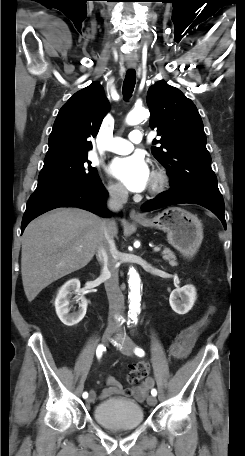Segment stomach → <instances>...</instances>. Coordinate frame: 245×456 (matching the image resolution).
<instances>
[{
    "instance_id": "obj_1",
    "label": "stomach",
    "mask_w": 245,
    "mask_h": 456,
    "mask_svg": "<svg viewBox=\"0 0 245 456\" xmlns=\"http://www.w3.org/2000/svg\"><path fill=\"white\" fill-rule=\"evenodd\" d=\"M137 223L166 232L168 242L185 257H193L203 240V225L198 217L178 207L167 208Z\"/></svg>"
}]
</instances>
